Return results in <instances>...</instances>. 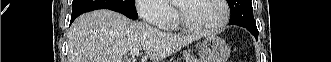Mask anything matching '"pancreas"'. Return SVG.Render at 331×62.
<instances>
[{
	"label": "pancreas",
	"instance_id": "1",
	"mask_svg": "<svg viewBox=\"0 0 331 62\" xmlns=\"http://www.w3.org/2000/svg\"><path fill=\"white\" fill-rule=\"evenodd\" d=\"M183 58L185 62H198V60L194 58V56H191L190 54H184Z\"/></svg>",
	"mask_w": 331,
	"mask_h": 62
}]
</instances>
